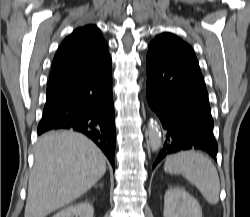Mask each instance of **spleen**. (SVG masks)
I'll list each match as a JSON object with an SVG mask.
<instances>
[{"instance_id": "spleen-1", "label": "spleen", "mask_w": 250, "mask_h": 217, "mask_svg": "<svg viewBox=\"0 0 250 217\" xmlns=\"http://www.w3.org/2000/svg\"><path fill=\"white\" fill-rule=\"evenodd\" d=\"M164 170L170 174H181L194 184L205 200L212 205L219 201L220 181L212 161L195 151H183L167 157Z\"/></svg>"}]
</instances>
